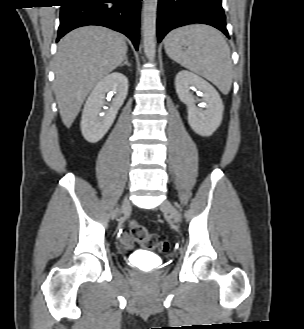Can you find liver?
Returning <instances> with one entry per match:
<instances>
[{"label": "liver", "instance_id": "1", "mask_svg": "<svg viewBox=\"0 0 304 329\" xmlns=\"http://www.w3.org/2000/svg\"><path fill=\"white\" fill-rule=\"evenodd\" d=\"M123 35L85 26L64 36L54 59V92L63 124L69 128L90 91L124 61Z\"/></svg>", "mask_w": 304, "mask_h": 329}]
</instances>
